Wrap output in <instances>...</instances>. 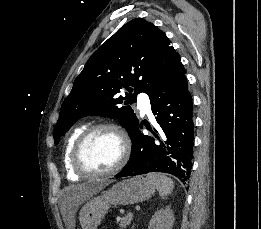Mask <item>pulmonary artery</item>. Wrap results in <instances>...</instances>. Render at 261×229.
I'll return each instance as SVG.
<instances>
[{
  "label": "pulmonary artery",
  "instance_id": "e3ab8cb5",
  "mask_svg": "<svg viewBox=\"0 0 261 229\" xmlns=\"http://www.w3.org/2000/svg\"><path fill=\"white\" fill-rule=\"evenodd\" d=\"M138 101V111L141 115H151V100L149 96V91H139V94L137 95Z\"/></svg>",
  "mask_w": 261,
  "mask_h": 229
}]
</instances>
